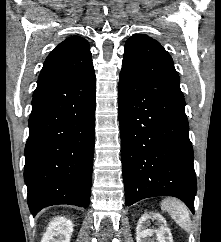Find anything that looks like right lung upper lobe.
<instances>
[{
  "instance_id": "right-lung-upper-lobe-1",
  "label": "right lung upper lobe",
  "mask_w": 221,
  "mask_h": 242,
  "mask_svg": "<svg viewBox=\"0 0 221 242\" xmlns=\"http://www.w3.org/2000/svg\"><path fill=\"white\" fill-rule=\"evenodd\" d=\"M89 43L71 36L46 58L33 96L69 87L93 72Z\"/></svg>"
}]
</instances>
